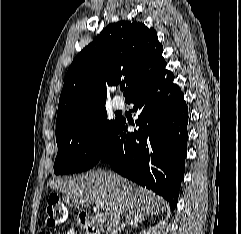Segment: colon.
<instances>
[{
    "mask_svg": "<svg viewBox=\"0 0 241 234\" xmlns=\"http://www.w3.org/2000/svg\"><path fill=\"white\" fill-rule=\"evenodd\" d=\"M67 218V210L58 197L51 195L47 200L45 211V223L48 227H55L63 223Z\"/></svg>",
    "mask_w": 241,
    "mask_h": 234,
    "instance_id": "1",
    "label": "colon"
}]
</instances>
